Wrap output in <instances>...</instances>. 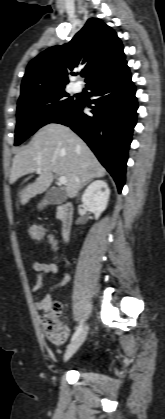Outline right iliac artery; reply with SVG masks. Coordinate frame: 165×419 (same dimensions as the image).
I'll return each mask as SVG.
<instances>
[{"instance_id":"82829eb1","label":"right iliac artery","mask_w":165,"mask_h":419,"mask_svg":"<svg viewBox=\"0 0 165 419\" xmlns=\"http://www.w3.org/2000/svg\"><path fill=\"white\" fill-rule=\"evenodd\" d=\"M82 327H83V321H81L80 325L77 327L75 333L73 334L71 341H74L77 336L80 334V332L82 331Z\"/></svg>"}]
</instances>
